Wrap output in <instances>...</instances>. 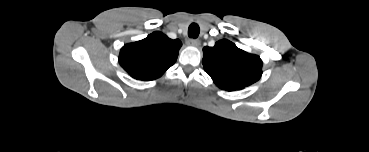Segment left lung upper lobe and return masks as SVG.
I'll use <instances>...</instances> for the list:
<instances>
[{
  "label": "left lung upper lobe",
  "instance_id": "obj_1",
  "mask_svg": "<svg viewBox=\"0 0 369 152\" xmlns=\"http://www.w3.org/2000/svg\"><path fill=\"white\" fill-rule=\"evenodd\" d=\"M203 66L215 84L227 91L241 90L258 81L262 75V60L249 54L229 40L203 48Z\"/></svg>",
  "mask_w": 369,
  "mask_h": 152
}]
</instances>
